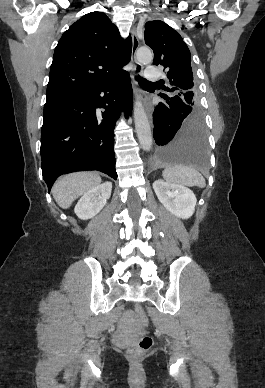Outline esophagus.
I'll return each mask as SVG.
<instances>
[{"label": "esophagus", "mask_w": 265, "mask_h": 388, "mask_svg": "<svg viewBox=\"0 0 265 388\" xmlns=\"http://www.w3.org/2000/svg\"><path fill=\"white\" fill-rule=\"evenodd\" d=\"M131 35H132V57H131V59L134 62V69L133 70L135 73L141 74V73H143V66L141 65V63L136 61V52L139 48V43H140L139 38L137 36L136 27H132ZM131 78H133L132 75H131ZM146 111H147L149 122L152 124L153 110H152V108H149L148 106H146Z\"/></svg>", "instance_id": "obj_1"}]
</instances>
